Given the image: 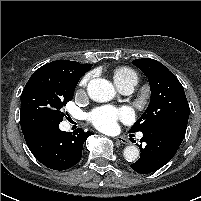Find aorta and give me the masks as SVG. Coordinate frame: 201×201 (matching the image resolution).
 Listing matches in <instances>:
<instances>
[{
	"mask_svg": "<svg viewBox=\"0 0 201 201\" xmlns=\"http://www.w3.org/2000/svg\"><path fill=\"white\" fill-rule=\"evenodd\" d=\"M89 97L96 102L110 101L115 95L113 85L106 79L95 78L87 85ZM139 149L136 146L130 145L124 149L123 156L128 162H134L139 157Z\"/></svg>",
	"mask_w": 201,
	"mask_h": 201,
	"instance_id": "1",
	"label": "aorta"
}]
</instances>
